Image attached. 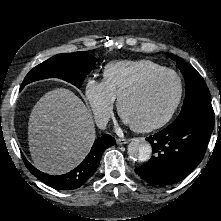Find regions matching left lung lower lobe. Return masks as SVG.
I'll use <instances>...</instances> for the list:
<instances>
[{
    "label": "left lung lower lobe",
    "mask_w": 221,
    "mask_h": 221,
    "mask_svg": "<svg viewBox=\"0 0 221 221\" xmlns=\"http://www.w3.org/2000/svg\"><path fill=\"white\" fill-rule=\"evenodd\" d=\"M214 120L213 110L195 109L149 136L153 156L135 172L155 185L181 181L202 161Z\"/></svg>",
    "instance_id": "1"
}]
</instances>
